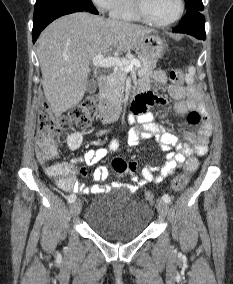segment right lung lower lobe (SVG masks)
Masks as SVG:
<instances>
[{"mask_svg":"<svg viewBox=\"0 0 233 284\" xmlns=\"http://www.w3.org/2000/svg\"><path fill=\"white\" fill-rule=\"evenodd\" d=\"M81 10H65V11H57V12H53L51 14H48L36 21H33V30H32V36H33V42L36 41V39L38 38L39 34L41 33V31L49 24L51 23L53 20H55L56 18L66 15V14H70V13H74V12H79ZM98 14V12L96 13Z\"/></svg>","mask_w":233,"mask_h":284,"instance_id":"right-lung-lower-lobe-1","label":"right lung lower lobe"}]
</instances>
